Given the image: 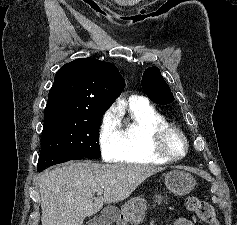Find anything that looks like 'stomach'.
I'll list each match as a JSON object with an SVG mask.
<instances>
[{
    "instance_id": "1",
    "label": "stomach",
    "mask_w": 237,
    "mask_h": 225,
    "mask_svg": "<svg viewBox=\"0 0 237 225\" xmlns=\"http://www.w3.org/2000/svg\"><path fill=\"white\" fill-rule=\"evenodd\" d=\"M167 189L176 195H187L194 186L195 180L191 174L181 170H172L165 177ZM158 202L161 197L156 196ZM146 201L142 197L129 199L121 208V216L126 223L138 225L145 217Z\"/></svg>"
}]
</instances>
